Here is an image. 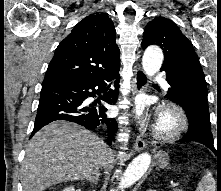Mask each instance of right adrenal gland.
I'll return each instance as SVG.
<instances>
[{
	"label": "right adrenal gland",
	"instance_id": "obj_1",
	"mask_svg": "<svg viewBox=\"0 0 221 191\" xmlns=\"http://www.w3.org/2000/svg\"><path fill=\"white\" fill-rule=\"evenodd\" d=\"M99 176L100 174L96 173L94 176H91L90 178H87L86 180L90 182L91 184H98Z\"/></svg>",
	"mask_w": 221,
	"mask_h": 191
}]
</instances>
